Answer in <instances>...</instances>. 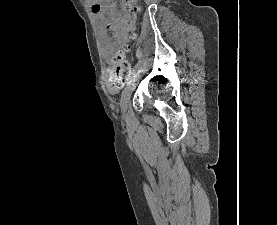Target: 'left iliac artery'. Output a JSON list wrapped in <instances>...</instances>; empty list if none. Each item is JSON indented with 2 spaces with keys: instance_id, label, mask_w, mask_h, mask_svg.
I'll use <instances>...</instances> for the list:
<instances>
[{
  "instance_id": "44dca946",
  "label": "left iliac artery",
  "mask_w": 277,
  "mask_h": 225,
  "mask_svg": "<svg viewBox=\"0 0 277 225\" xmlns=\"http://www.w3.org/2000/svg\"><path fill=\"white\" fill-rule=\"evenodd\" d=\"M141 71H142V69H140V68L134 70V71L132 72V74H131V78L134 77V76H136L137 74H139Z\"/></svg>"
}]
</instances>
